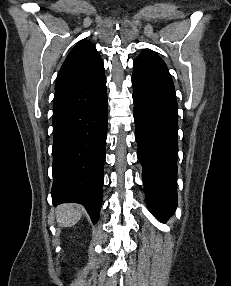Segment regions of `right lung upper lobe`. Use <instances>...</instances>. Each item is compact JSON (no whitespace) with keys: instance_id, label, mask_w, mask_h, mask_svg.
<instances>
[{"instance_id":"right-lung-upper-lobe-1","label":"right lung upper lobe","mask_w":231,"mask_h":286,"mask_svg":"<svg viewBox=\"0 0 231 286\" xmlns=\"http://www.w3.org/2000/svg\"><path fill=\"white\" fill-rule=\"evenodd\" d=\"M103 68V61L95 46L89 41L82 40L77 43L64 61L55 88L92 77Z\"/></svg>"}]
</instances>
